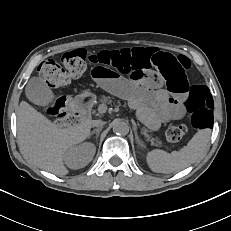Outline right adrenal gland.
<instances>
[{"label":"right adrenal gland","mask_w":231,"mask_h":231,"mask_svg":"<svg viewBox=\"0 0 231 231\" xmlns=\"http://www.w3.org/2000/svg\"><path fill=\"white\" fill-rule=\"evenodd\" d=\"M101 130H102V127L98 128V129H95L90 133L89 136L91 137L93 134L96 133V136L98 137Z\"/></svg>","instance_id":"1"}]
</instances>
